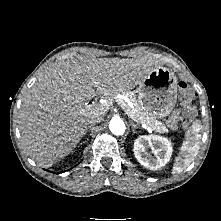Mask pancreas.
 <instances>
[{
	"mask_svg": "<svg viewBox=\"0 0 221 221\" xmlns=\"http://www.w3.org/2000/svg\"><path fill=\"white\" fill-rule=\"evenodd\" d=\"M124 95L126 97H128V99L133 104V108L131 109L130 107H128V105L125 103V101L122 100V103H124L126 105L124 110L130 118H132L136 122L142 121V122L146 123L155 132H158V133H167L168 132V129L166 128V126L162 122L156 120L153 116H149L145 112L142 111L134 93L126 92V93H124Z\"/></svg>",
	"mask_w": 221,
	"mask_h": 221,
	"instance_id": "cf45deb5",
	"label": "pancreas"
}]
</instances>
